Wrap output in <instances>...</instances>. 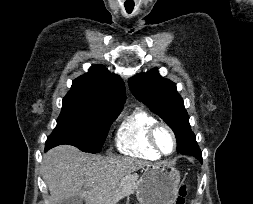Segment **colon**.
I'll return each instance as SVG.
<instances>
[{
  "mask_svg": "<svg viewBox=\"0 0 253 204\" xmlns=\"http://www.w3.org/2000/svg\"><path fill=\"white\" fill-rule=\"evenodd\" d=\"M187 195L188 187L186 185L181 186L174 204H185Z\"/></svg>",
  "mask_w": 253,
  "mask_h": 204,
  "instance_id": "colon-1",
  "label": "colon"
}]
</instances>
